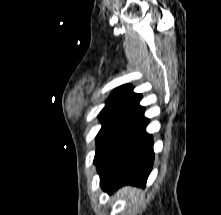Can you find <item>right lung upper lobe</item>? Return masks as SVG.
<instances>
[{
	"label": "right lung upper lobe",
	"mask_w": 221,
	"mask_h": 215,
	"mask_svg": "<svg viewBox=\"0 0 221 215\" xmlns=\"http://www.w3.org/2000/svg\"><path fill=\"white\" fill-rule=\"evenodd\" d=\"M140 100L141 94L134 93L131 85H123L113 91L106 105H118L140 111L144 109L139 105Z\"/></svg>",
	"instance_id": "1"
}]
</instances>
